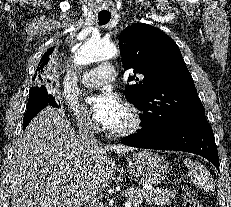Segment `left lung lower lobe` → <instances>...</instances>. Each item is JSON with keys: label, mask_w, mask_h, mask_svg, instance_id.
Listing matches in <instances>:
<instances>
[{"label": "left lung lower lobe", "mask_w": 231, "mask_h": 207, "mask_svg": "<svg viewBox=\"0 0 231 207\" xmlns=\"http://www.w3.org/2000/svg\"><path fill=\"white\" fill-rule=\"evenodd\" d=\"M121 142L138 148L195 153L207 158L219 171V157L214 134L205 116L184 120L158 135L139 131L121 139Z\"/></svg>", "instance_id": "0a47b994"}]
</instances>
